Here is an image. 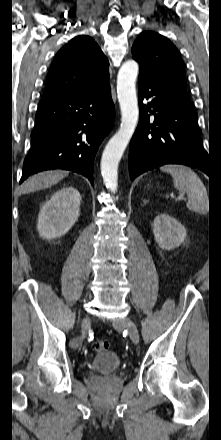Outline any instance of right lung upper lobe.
<instances>
[{"mask_svg":"<svg viewBox=\"0 0 221 440\" xmlns=\"http://www.w3.org/2000/svg\"><path fill=\"white\" fill-rule=\"evenodd\" d=\"M109 85V62L97 43L81 35L64 45L51 63L42 99L91 93Z\"/></svg>","mask_w":221,"mask_h":440,"instance_id":"1","label":"right lung upper lobe"}]
</instances>
